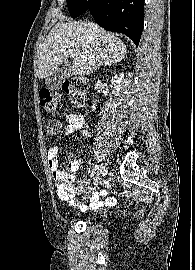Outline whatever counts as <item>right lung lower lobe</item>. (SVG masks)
<instances>
[{
	"label": "right lung lower lobe",
	"instance_id": "right-lung-lower-lobe-1",
	"mask_svg": "<svg viewBox=\"0 0 195 270\" xmlns=\"http://www.w3.org/2000/svg\"><path fill=\"white\" fill-rule=\"evenodd\" d=\"M87 11L101 27L125 34L138 46L144 22V0H89Z\"/></svg>",
	"mask_w": 195,
	"mask_h": 270
}]
</instances>
